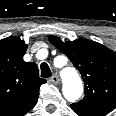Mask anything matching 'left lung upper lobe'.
<instances>
[{
	"instance_id": "1",
	"label": "left lung upper lobe",
	"mask_w": 116,
	"mask_h": 116,
	"mask_svg": "<svg viewBox=\"0 0 116 116\" xmlns=\"http://www.w3.org/2000/svg\"><path fill=\"white\" fill-rule=\"evenodd\" d=\"M49 41L64 53L79 70L85 96L72 105L111 112L116 108V53L91 40L63 42L56 36Z\"/></svg>"
}]
</instances>
